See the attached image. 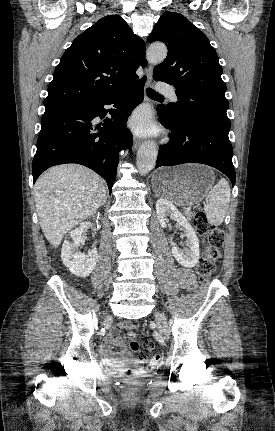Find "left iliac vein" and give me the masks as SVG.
<instances>
[{"label": "left iliac vein", "instance_id": "4c4485c4", "mask_svg": "<svg viewBox=\"0 0 275 431\" xmlns=\"http://www.w3.org/2000/svg\"><path fill=\"white\" fill-rule=\"evenodd\" d=\"M155 318H156V322L158 325V329L160 331V333L162 334V336L165 339H168L169 337V328L167 325V321H166V317L163 313H161L160 311H156L155 312Z\"/></svg>", "mask_w": 275, "mask_h": 431}]
</instances>
